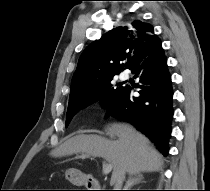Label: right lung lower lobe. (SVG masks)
Instances as JSON below:
<instances>
[{"instance_id": "obj_1", "label": "right lung lower lobe", "mask_w": 210, "mask_h": 191, "mask_svg": "<svg viewBox=\"0 0 210 191\" xmlns=\"http://www.w3.org/2000/svg\"><path fill=\"white\" fill-rule=\"evenodd\" d=\"M130 70L140 78V95L133 96V88L124 86L121 93L106 108V116L111 115L131 123L148 136L166 156L171 136L173 91L167 60L158 37L141 52Z\"/></svg>"}]
</instances>
